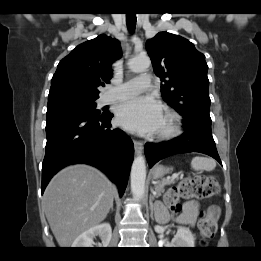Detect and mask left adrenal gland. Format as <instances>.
<instances>
[{"label": "left adrenal gland", "mask_w": 261, "mask_h": 261, "mask_svg": "<svg viewBox=\"0 0 261 261\" xmlns=\"http://www.w3.org/2000/svg\"><path fill=\"white\" fill-rule=\"evenodd\" d=\"M153 195H150L149 203H150V209H151V217H153V200H154Z\"/></svg>", "instance_id": "obj_1"}]
</instances>
